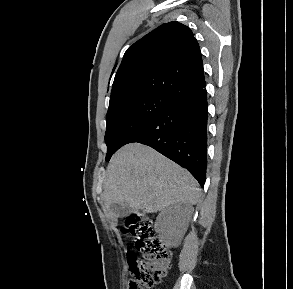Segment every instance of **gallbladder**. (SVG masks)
<instances>
[{
  "label": "gallbladder",
  "instance_id": "gallbladder-1",
  "mask_svg": "<svg viewBox=\"0 0 293 289\" xmlns=\"http://www.w3.org/2000/svg\"><path fill=\"white\" fill-rule=\"evenodd\" d=\"M110 210L117 217L128 216L131 212V208L129 207V204L126 201L112 204Z\"/></svg>",
  "mask_w": 293,
  "mask_h": 289
}]
</instances>
